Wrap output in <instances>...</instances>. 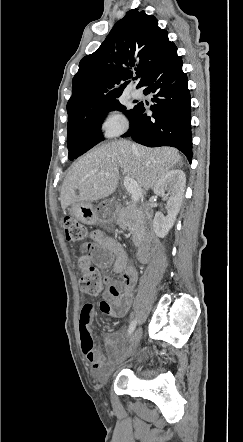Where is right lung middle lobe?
I'll list each match as a JSON object with an SVG mask.
<instances>
[{"instance_id":"right-lung-middle-lobe-1","label":"right lung middle lobe","mask_w":243,"mask_h":442,"mask_svg":"<svg viewBox=\"0 0 243 442\" xmlns=\"http://www.w3.org/2000/svg\"><path fill=\"white\" fill-rule=\"evenodd\" d=\"M120 96V95H119ZM119 96L101 104L89 111L68 119L67 144L68 158L73 160L100 143L104 138L101 134V125L110 111H125L126 107L119 101ZM136 106L125 112L130 119Z\"/></svg>"}]
</instances>
